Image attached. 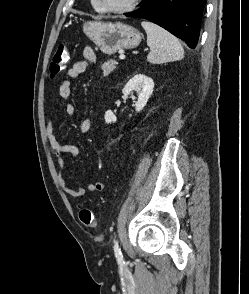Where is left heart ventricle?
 I'll return each mask as SVG.
<instances>
[{"label":"left heart ventricle","instance_id":"obj_1","mask_svg":"<svg viewBox=\"0 0 249 294\" xmlns=\"http://www.w3.org/2000/svg\"><path fill=\"white\" fill-rule=\"evenodd\" d=\"M129 0H100L103 6L118 8L125 5Z\"/></svg>","mask_w":249,"mask_h":294}]
</instances>
